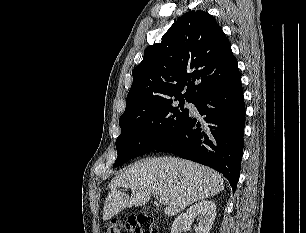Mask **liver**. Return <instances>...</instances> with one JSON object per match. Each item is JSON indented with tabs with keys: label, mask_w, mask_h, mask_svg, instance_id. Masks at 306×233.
Instances as JSON below:
<instances>
[{
	"label": "liver",
	"mask_w": 306,
	"mask_h": 233,
	"mask_svg": "<svg viewBox=\"0 0 306 233\" xmlns=\"http://www.w3.org/2000/svg\"><path fill=\"white\" fill-rule=\"evenodd\" d=\"M103 220L107 221L126 208L145 205L152 194L168 199L164 213L174 216L190 204L215 196L224 190V180L218 172L175 157L144 159L108 185ZM130 188L129 196L118 188Z\"/></svg>",
	"instance_id": "obj_1"
}]
</instances>
